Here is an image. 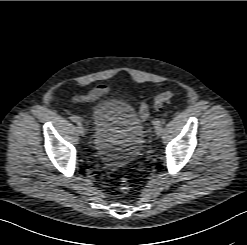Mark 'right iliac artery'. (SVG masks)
<instances>
[{"label":"right iliac artery","instance_id":"obj_1","mask_svg":"<svg viewBox=\"0 0 247 245\" xmlns=\"http://www.w3.org/2000/svg\"><path fill=\"white\" fill-rule=\"evenodd\" d=\"M70 119H71L73 122H81V121H83V119H82L81 117H78V116H76V115H72V116L70 117Z\"/></svg>","mask_w":247,"mask_h":245}]
</instances>
